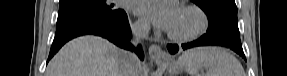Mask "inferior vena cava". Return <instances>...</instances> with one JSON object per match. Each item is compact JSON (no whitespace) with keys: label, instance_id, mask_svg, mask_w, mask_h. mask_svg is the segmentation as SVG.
<instances>
[{"label":"inferior vena cava","instance_id":"1","mask_svg":"<svg viewBox=\"0 0 287 76\" xmlns=\"http://www.w3.org/2000/svg\"><path fill=\"white\" fill-rule=\"evenodd\" d=\"M131 29L133 34L131 42L136 46L141 40L148 38L150 25L135 23L131 26ZM139 65L140 63L135 53L126 51V59L121 70V76H138Z\"/></svg>","mask_w":287,"mask_h":76}]
</instances>
